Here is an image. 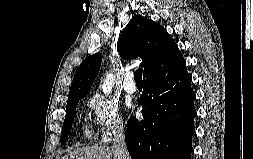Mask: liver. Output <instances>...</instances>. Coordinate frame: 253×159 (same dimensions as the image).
I'll return each mask as SVG.
<instances>
[{"label":"liver","mask_w":253,"mask_h":159,"mask_svg":"<svg viewBox=\"0 0 253 159\" xmlns=\"http://www.w3.org/2000/svg\"><path fill=\"white\" fill-rule=\"evenodd\" d=\"M62 159H118V155L113 147L86 146L76 148Z\"/></svg>","instance_id":"6515ba94"}]
</instances>
